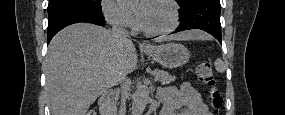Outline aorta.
I'll return each mask as SVG.
<instances>
[{"label": "aorta", "mask_w": 285, "mask_h": 115, "mask_svg": "<svg viewBox=\"0 0 285 115\" xmlns=\"http://www.w3.org/2000/svg\"><path fill=\"white\" fill-rule=\"evenodd\" d=\"M149 100V89L146 85H137L136 92L134 94V100L132 105L133 115H141Z\"/></svg>", "instance_id": "obj_1"}]
</instances>
